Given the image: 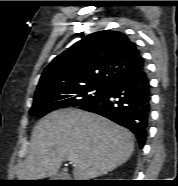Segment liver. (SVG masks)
Listing matches in <instances>:
<instances>
[{"label": "liver", "instance_id": "1", "mask_svg": "<svg viewBox=\"0 0 178 186\" xmlns=\"http://www.w3.org/2000/svg\"><path fill=\"white\" fill-rule=\"evenodd\" d=\"M133 150V135L124 127L80 109H59L38 121L16 175L20 180L51 177L73 157L74 178L89 180L125 163Z\"/></svg>", "mask_w": 178, "mask_h": 186}]
</instances>
